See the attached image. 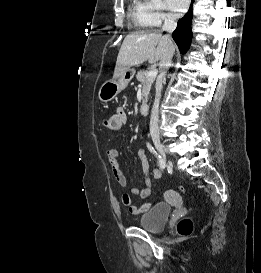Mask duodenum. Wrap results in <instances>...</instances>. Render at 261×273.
I'll use <instances>...</instances> for the list:
<instances>
[{"mask_svg": "<svg viewBox=\"0 0 261 273\" xmlns=\"http://www.w3.org/2000/svg\"><path fill=\"white\" fill-rule=\"evenodd\" d=\"M140 112L144 115L149 114L150 112V106L148 103H142L140 106Z\"/></svg>", "mask_w": 261, "mask_h": 273, "instance_id": "obj_1", "label": "duodenum"}]
</instances>
